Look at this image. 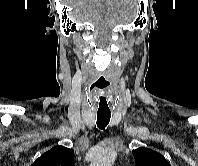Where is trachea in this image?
<instances>
[{"label":"trachea","instance_id":"trachea-1","mask_svg":"<svg viewBox=\"0 0 198 166\" xmlns=\"http://www.w3.org/2000/svg\"><path fill=\"white\" fill-rule=\"evenodd\" d=\"M111 118L109 113H97V126L99 129H105Z\"/></svg>","mask_w":198,"mask_h":166}]
</instances>
